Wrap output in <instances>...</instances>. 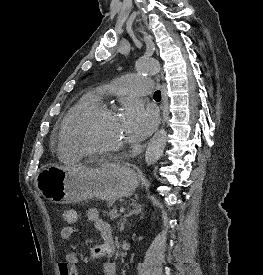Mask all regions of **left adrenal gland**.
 I'll return each instance as SVG.
<instances>
[{
    "label": "left adrenal gland",
    "mask_w": 263,
    "mask_h": 275,
    "mask_svg": "<svg viewBox=\"0 0 263 275\" xmlns=\"http://www.w3.org/2000/svg\"><path fill=\"white\" fill-rule=\"evenodd\" d=\"M129 206L132 207V210H130V212L128 214H125L123 216V219L120 221V230L121 231L124 229V225L127 221V217H130L132 215H138V214L142 213V206L140 204L132 202Z\"/></svg>",
    "instance_id": "1"
}]
</instances>
